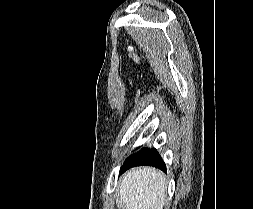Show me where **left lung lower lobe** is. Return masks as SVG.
Listing matches in <instances>:
<instances>
[{
	"label": "left lung lower lobe",
	"instance_id": "1",
	"mask_svg": "<svg viewBox=\"0 0 253 209\" xmlns=\"http://www.w3.org/2000/svg\"><path fill=\"white\" fill-rule=\"evenodd\" d=\"M152 166L166 172V166L155 148L146 149L136 156H129L120 169V174L132 167Z\"/></svg>",
	"mask_w": 253,
	"mask_h": 209
}]
</instances>
